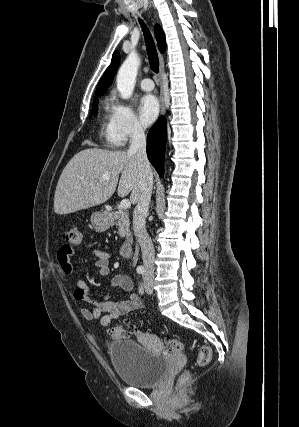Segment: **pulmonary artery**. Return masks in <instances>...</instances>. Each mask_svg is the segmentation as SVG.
Listing matches in <instances>:
<instances>
[{
    "label": "pulmonary artery",
    "mask_w": 299,
    "mask_h": 427,
    "mask_svg": "<svg viewBox=\"0 0 299 427\" xmlns=\"http://www.w3.org/2000/svg\"><path fill=\"white\" fill-rule=\"evenodd\" d=\"M140 87L143 91L148 92V91H152L154 89V84L150 78L145 77L141 80Z\"/></svg>",
    "instance_id": "obj_1"
}]
</instances>
